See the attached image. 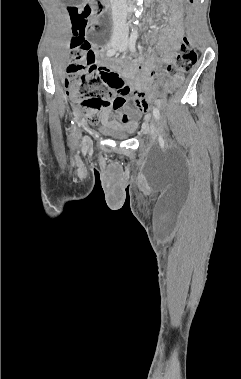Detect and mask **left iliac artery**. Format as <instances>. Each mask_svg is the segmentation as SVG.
I'll use <instances>...</instances> for the list:
<instances>
[{
	"label": "left iliac artery",
	"mask_w": 241,
	"mask_h": 379,
	"mask_svg": "<svg viewBox=\"0 0 241 379\" xmlns=\"http://www.w3.org/2000/svg\"><path fill=\"white\" fill-rule=\"evenodd\" d=\"M137 37H138L137 29L132 30V33H131V36L129 39V48L131 51H135V44H136ZM153 114H154V117L156 118V120H159L160 111L157 108H154ZM159 142L161 143V145H164V140H163V137L161 135L159 136Z\"/></svg>",
	"instance_id": "left-iliac-artery-1"
}]
</instances>
